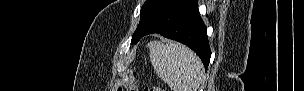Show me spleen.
Listing matches in <instances>:
<instances>
[{"label": "spleen", "mask_w": 304, "mask_h": 91, "mask_svg": "<svg viewBox=\"0 0 304 91\" xmlns=\"http://www.w3.org/2000/svg\"><path fill=\"white\" fill-rule=\"evenodd\" d=\"M150 61L157 75L172 91H197L203 79V64L183 44L159 41L149 44Z\"/></svg>", "instance_id": "obj_1"}]
</instances>
